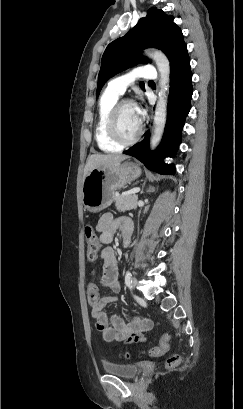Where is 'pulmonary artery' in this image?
I'll list each match as a JSON object with an SVG mask.
<instances>
[{
	"instance_id": "obj_1",
	"label": "pulmonary artery",
	"mask_w": 243,
	"mask_h": 409,
	"mask_svg": "<svg viewBox=\"0 0 243 409\" xmlns=\"http://www.w3.org/2000/svg\"><path fill=\"white\" fill-rule=\"evenodd\" d=\"M156 77L157 72L155 71L153 65L150 67L142 66L110 80L107 85V89L121 96L125 93L128 86L136 79L154 80Z\"/></svg>"
}]
</instances>
